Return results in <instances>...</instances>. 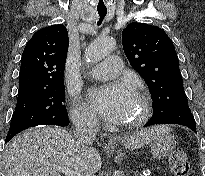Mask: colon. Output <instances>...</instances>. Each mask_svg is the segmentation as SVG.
<instances>
[{
  "label": "colon",
  "mask_w": 205,
  "mask_h": 176,
  "mask_svg": "<svg viewBox=\"0 0 205 176\" xmlns=\"http://www.w3.org/2000/svg\"><path fill=\"white\" fill-rule=\"evenodd\" d=\"M169 165L175 176H192L189 159L186 152L181 148H177L171 153Z\"/></svg>",
  "instance_id": "1"
}]
</instances>
